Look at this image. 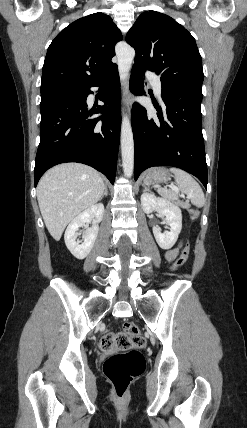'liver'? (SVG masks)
Returning <instances> with one entry per match:
<instances>
[{
	"instance_id": "liver-1",
	"label": "liver",
	"mask_w": 247,
	"mask_h": 428,
	"mask_svg": "<svg viewBox=\"0 0 247 428\" xmlns=\"http://www.w3.org/2000/svg\"><path fill=\"white\" fill-rule=\"evenodd\" d=\"M104 192L99 172L79 163L60 164L48 170L37 186V199L44 223L59 241L75 217L92 207Z\"/></svg>"
}]
</instances>
